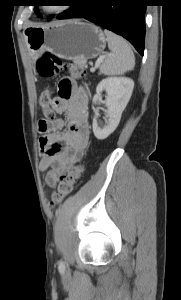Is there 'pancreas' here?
I'll use <instances>...</instances> for the list:
<instances>
[{
  "instance_id": "obj_1",
  "label": "pancreas",
  "mask_w": 181,
  "mask_h": 300,
  "mask_svg": "<svg viewBox=\"0 0 181 300\" xmlns=\"http://www.w3.org/2000/svg\"><path fill=\"white\" fill-rule=\"evenodd\" d=\"M75 65L82 67L84 64L80 61H74Z\"/></svg>"
}]
</instances>
